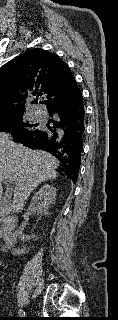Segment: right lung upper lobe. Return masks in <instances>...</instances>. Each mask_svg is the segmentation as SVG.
Here are the masks:
<instances>
[{"mask_svg": "<svg viewBox=\"0 0 118 320\" xmlns=\"http://www.w3.org/2000/svg\"><path fill=\"white\" fill-rule=\"evenodd\" d=\"M79 90L68 65L43 49L29 50L0 68V119L23 117L28 97L47 106Z\"/></svg>", "mask_w": 118, "mask_h": 320, "instance_id": "1", "label": "right lung upper lobe"}]
</instances>
